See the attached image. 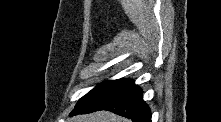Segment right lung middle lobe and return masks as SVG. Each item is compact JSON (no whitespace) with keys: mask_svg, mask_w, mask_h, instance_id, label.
<instances>
[{"mask_svg":"<svg viewBox=\"0 0 221 122\" xmlns=\"http://www.w3.org/2000/svg\"><path fill=\"white\" fill-rule=\"evenodd\" d=\"M121 80H113V81H107L104 82L98 86H96L93 90H91L89 93H87L84 97L81 98V101H85L89 98H92L93 96H96L97 94L111 88L112 86H114L115 84H117L118 82H120Z\"/></svg>","mask_w":221,"mask_h":122,"instance_id":"1","label":"right lung middle lobe"}]
</instances>
